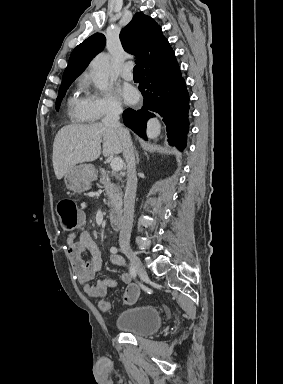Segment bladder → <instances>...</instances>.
Masks as SVG:
<instances>
[{
    "label": "bladder",
    "mask_w": 283,
    "mask_h": 384,
    "mask_svg": "<svg viewBox=\"0 0 283 384\" xmlns=\"http://www.w3.org/2000/svg\"><path fill=\"white\" fill-rule=\"evenodd\" d=\"M163 323L160 309L152 304H136L121 310L114 322V327L123 333L144 337L154 333Z\"/></svg>",
    "instance_id": "bladder-1"
}]
</instances>
